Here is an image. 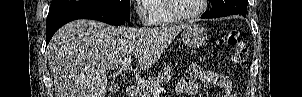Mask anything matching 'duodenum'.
I'll return each instance as SVG.
<instances>
[{"label":"duodenum","mask_w":302,"mask_h":97,"mask_svg":"<svg viewBox=\"0 0 302 97\" xmlns=\"http://www.w3.org/2000/svg\"><path fill=\"white\" fill-rule=\"evenodd\" d=\"M126 96L127 97H136L137 96V88L133 85L126 87Z\"/></svg>","instance_id":"duodenum-1"}]
</instances>
